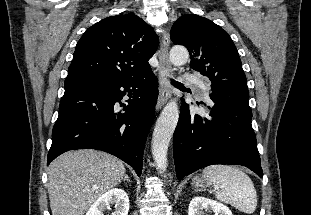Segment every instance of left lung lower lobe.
Wrapping results in <instances>:
<instances>
[{"instance_id": "left-lung-lower-lobe-1", "label": "left lung lower lobe", "mask_w": 311, "mask_h": 215, "mask_svg": "<svg viewBox=\"0 0 311 215\" xmlns=\"http://www.w3.org/2000/svg\"><path fill=\"white\" fill-rule=\"evenodd\" d=\"M206 114L183 102L173 135L177 178L213 164L246 166L263 176L248 100L210 92ZM206 106V104H204Z\"/></svg>"}]
</instances>
